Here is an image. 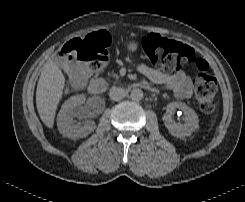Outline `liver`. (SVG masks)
<instances>
[{"label": "liver", "instance_id": "liver-1", "mask_svg": "<svg viewBox=\"0 0 245 202\" xmlns=\"http://www.w3.org/2000/svg\"><path fill=\"white\" fill-rule=\"evenodd\" d=\"M65 81V76L54 62L48 61L44 65L37 84L36 106L40 119L48 128L53 127Z\"/></svg>", "mask_w": 245, "mask_h": 202}]
</instances>
